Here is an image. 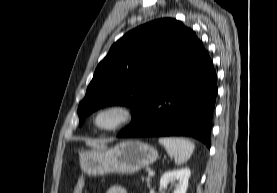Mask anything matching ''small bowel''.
<instances>
[{
	"instance_id": "obj_1",
	"label": "small bowel",
	"mask_w": 277,
	"mask_h": 193,
	"mask_svg": "<svg viewBox=\"0 0 277 193\" xmlns=\"http://www.w3.org/2000/svg\"><path fill=\"white\" fill-rule=\"evenodd\" d=\"M106 193H128L126 188L120 185H113L109 187L106 191Z\"/></svg>"
}]
</instances>
